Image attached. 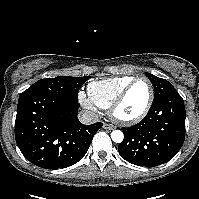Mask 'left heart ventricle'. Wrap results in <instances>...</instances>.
<instances>
[{
  "label": "left heart ventricle",
  "mask_w": 199,
  "mask_h": 199,
  "mask_svg": "<svg viewBox=\"0 0 199 199\" xmlns=\"http://www.w3.org/2000/svg\"><path fill=\"white\" fill-rule=\"evenodd\" d=\"M150 94V87L146 81H138L128 92L123 104L118 109L121 117H134L145 107Z\"/></svg>",
  "instance_id": "left-heart-ventricle-1"
}]
</instances>
